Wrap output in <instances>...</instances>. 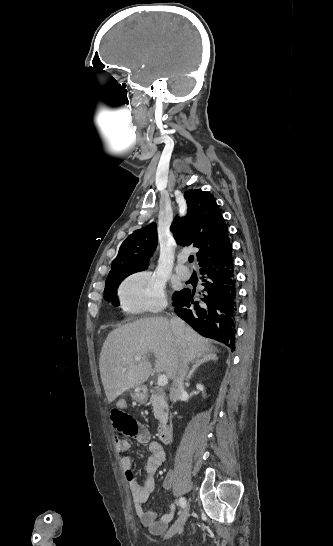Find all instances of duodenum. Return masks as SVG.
<instances>
[{
	"instance_id": "duodenum-1",
	"label": "duodenum",
	"mask_w": 333,
	"mask_h": 546,
	"mask_svg": "<svg viewBox=\"0 0 333 546\" xmlns=\"http://www.w3.org/2000/svg\"><path fill=\"white\" fill-rule=\"evenodd\" d=\"M173 436L172 424L169 421H166L161 425L157 432V437L162 443H170Z\"/></svg>"
}]
</instances>
